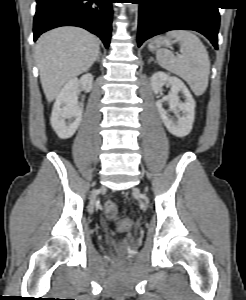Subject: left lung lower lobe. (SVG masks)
<instances>
[{"label":"left lung lower lobe","mask_w":246,"mask_h":300,"mask_svg":"<svg viewBox=\"0 0 246 300\" xmlns=\"http://www.w3.org/2000/svg\"><path fill=\"white\" fill-rule=\"evenodd\" d=\"M140 4L138 46L160 33L186 29L206 36L217 49L219 12L215 0H135Z\"/></svg>","instance_id":"1"}]
</instances>
